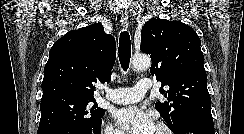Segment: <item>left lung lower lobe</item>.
Instances as JSON below:
<instances>
[{"label": "left lung lower lobe", "instance_id": "0a47b994", "mask_svg": "<svg viewBox=\"0 0 244 134\" xmlns=\"http://www.w3.org/2000/svg\"><path fill=\"white\" fill-rule=\"evenodd\" d=\"M171 131L173 134H214V123L211 118L188 116Z\"/></svg>", "mask_w": 244, "mask_h": 134}]
</instances>
